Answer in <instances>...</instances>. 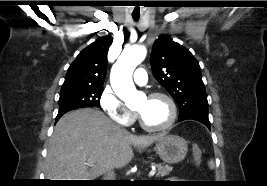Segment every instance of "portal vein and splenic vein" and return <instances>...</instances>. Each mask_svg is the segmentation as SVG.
I'll list each match as a JSON object with an SVG mask.
<instances>
[{
	"mask_svg": "<svg viewBox=\"0 0 267 186\" xmlns=\"http://www.w3.org/2000/svg\"><path fill=\"white\" fill-rule=\"evenodd\" d=\"M155 173H156V170H151V171H149V177H152V176H154V175H155Z\"/></svg>",
	"mask_w": 267,
	"mask_h": 186,
	"instance_id": "portal-vein-and-splenic-vein-1",
	"label": "portal vein and splenic vein"
}]
</instances>
